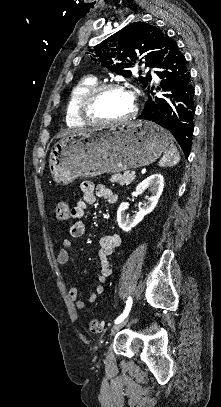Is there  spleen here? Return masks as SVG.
Listing matches in <instances>:
<instances>
[{
  "instance_id": "obj_1",
  "label": "spleen",
  "mask_w": 221,
  "mask_h": 407,
  "mask_svg": "<svg viewBox=\"0 0 221 407\" xmlns=\"http://www.w3.org/2000/svg\"><path fill=\"white\" fill-rule=\"evenodd\" d=\"M180 154L177 147L174 145L173 141L170 144L169 149L165 152L161 160L159 161V166L161 167H172L179 163Z\"/></svg>"
}]
</instances>
